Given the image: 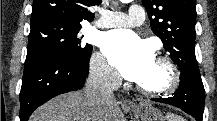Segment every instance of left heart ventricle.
<instances>
[{
    "label": "left heart ventricle",
    "mask_w": 217,
    "mask_h": 121,
    "mask_svg": "<svg viewBox=\"0 0 217 121\" xmlns=\"http://www.w3.org/2000/svg\"><path fill=\"white\" fill-rule=\"evenodd\" d=\"M166 79L165 68L156 61L152 63L146 75L138 82L149 87H157L161 85Z\"/></svg>",
    "instance_id": "obj_1"
}]
</instances>
